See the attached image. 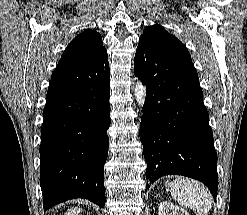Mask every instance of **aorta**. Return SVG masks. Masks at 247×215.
Masks as SVG:
<instances>
[{
  "label": "aorta",
  "mask_w": 247,
  "mask_h": 215,
  "mask_svg": "<svg viewBox=\"0 0 247 215\" xmlns=\"http://www.w3.org/2000/svg\"><path fill=\"white\" fill-rule=\"evenodd\" d=\"M134 95L138 106L142 108L146 101V86L141 81L135 83Z\"/></svg>",
  "instance_id": "762f6f07"
}]
</instances>
